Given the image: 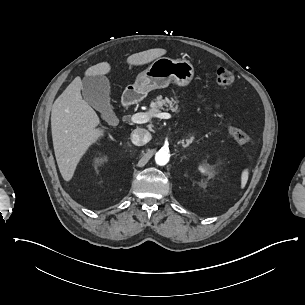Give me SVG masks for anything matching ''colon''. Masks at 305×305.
<instances>
[{
  "label": "colon",
  "instance_id": "obj_1",
  "mask_svg": "<svg viewBox=\"0 0 305 305\" xmlns=\"http://www.w3.org/2000/svg\"><path fill=\"white\" fill-rule=\"evenodd\" d=\"M215 77H216V82L220 86H230L233 83L232 73L225 68L217 69L215 73ZM226 129L228 134L231 136V138L236 142L244 143V144L253 143L252 135L249 132L243 131L230 124L226 125Z\"/></svg>",
  "mask_w": 305,
  "mask_h": 305
}]
</instances>
